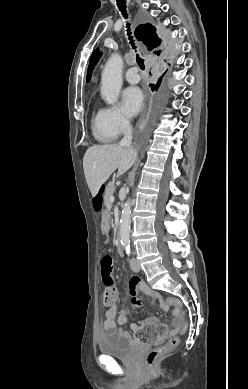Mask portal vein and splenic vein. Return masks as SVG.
<instances>
[{
	"label": "portal vein and splenic vein",
	"mask_w": 248,
	"mask_h": 389,
	"mask_svg": "<svg viewBox=\"0 0 248 389\" xmlns=\"http://www.w3.org/2000/svg\"><path fill=\"white\" fill-rule=\"evenodd\" d=\"M110 201H111V203L114 202V196H111Z\"/></svg>",
	"instance_id": "18ae733b"
}]
</instances>
